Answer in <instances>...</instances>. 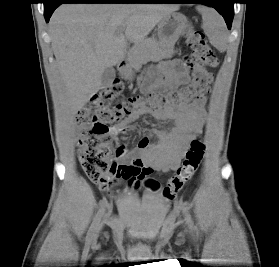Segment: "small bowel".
<instances>
[{
	"label": "small bowel",
	"mask_w": 279,
	"mask_h": 267,
	"mask_svg": "<svg viewBox=\"0 0 279 267\" xmlns=\"http://www.w3.org/2000/svg\"><path fill=\"white\" fill-rule=\"evenodd\" d=\"M162 77L153 85H145L144 91L162 89L185 84L189 74L184 63L174 59L160 65ZM206 97L202 95L193 102L182 107H167L161 109L140 108L132 112L121 124L117 125L112 135L116 142H120L119 133L125 130L129 124L145 114H152L158 120H171L173 125L168 129H152L150 137H158L157 142H151L150 137H145L133 149L130 154H125L122 161H138L143 170L140 174L128 178L127 189L136 187L138 181L151 174L154 168L163 171L175 170L184 157L190 142L196 137L206 120ZM117 179L107 176L97 182L101 190L110 195L114 193Z\"/></svg>",
	"instance_id": "small-bowel-1"
}]
</instances>
